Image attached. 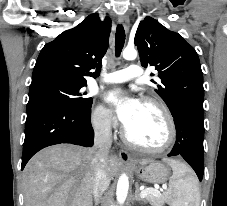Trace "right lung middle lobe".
<instances>
[{
    "instance_id": "1",
    "label": "right lung middle lobe",
    "mask_w": 227,
    "mask_h": 206,
    "mask_svg": "<svg viewBox=\"0 0 227 206\" xmlns=\"http://www.w3.org/2000/svg\"><path fill=\"white\" fill-rule=\"evenodd\" d=\"M84 84L47 79L31 83L27 111L44 105L84 109L92 104V98H85Z\"/></svg>"
}]
</instances>
